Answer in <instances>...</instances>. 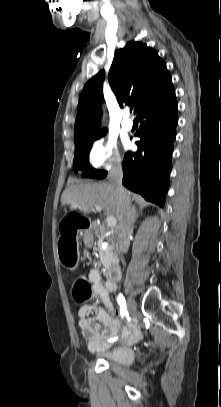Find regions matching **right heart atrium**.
Wrapping results in <instances>:
<instances>
[{"instance_id":"right-heart-atrium-1","label":"right heart atrium","mask_w":221,"mask_h":407,"mask_svg":"<svg viewBox=\"0 0 221 407\" xmlns=\"http://www.w3.org/2000/svg\"><path fill=\"white\" fill-rule=\"evenodd\" d=\"M88 164L94 169H111L121 164L115 140L99 137L92 143L88 153Z\"/></svg>"}]
</instances>
